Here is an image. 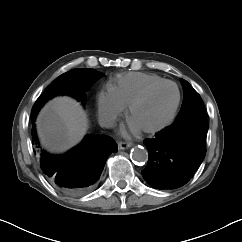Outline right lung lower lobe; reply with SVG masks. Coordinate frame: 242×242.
Returning a JSON list of instances; mask_svg holds the SVG:
<instances>
[{
	"mask_svg": "<svg viewBox=\"0 0 242 242\" xmlns=\"http://www.w3.org/2000/svg\"><path fill=\"white\" fill-rule=\"evenodd\" d=\"M36 115H31L32 140L41 148L35 129ZM118 149L106 135H87L83 141L63 154L41 150L40 167L49 182L58 190L81 195L96 186L108 156Z\"/></svg>",
	"mask_w": 242,
	"mask_h": 242,
	"instance_id": "1",
	"label": "right lung lower lobe"
}]
</instances>
